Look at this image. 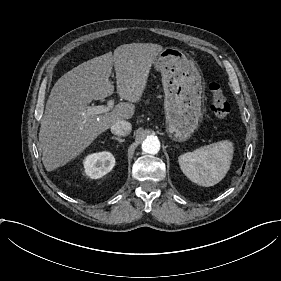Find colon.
Masks as SVG:
<instances>
[{
  "label": "colon",
  "instance_id": "obj_1",
  "mask_svg": "<svg viewBox=\"0 0 281 281\" xmlns=\"http://www.w3.org/2000/svg\"><path fill=\"white\" fill-rule=\"evenodd\" d=\"M208 89L210 93V107L215 121L220 124L227 122L229 105L224 97L222 87L217 83H212Z\"/></svg>",
  "mask_w": 281,
  "mask_h": 281
}]
</instances>
